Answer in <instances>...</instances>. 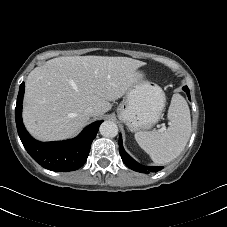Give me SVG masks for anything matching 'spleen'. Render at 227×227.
<instances>
[{
    "label": "spleen",
    "mask_w": 227,
    "mask_h": 227,
    "mask_svg": "<svg viewBox=\"0 0 227 227\" xmlns=\"http://www.w3.org/2000/svg\"><path fill=\"white\" fill-rule=\"evenodd\" d=\"M170 125L163 131H139L135 140L156 164H166L177 158L191 134V117L187 102L174 94L168 109Z\"/></svg>",
    "instance_id": "3e777b00"
}]
</instances>
